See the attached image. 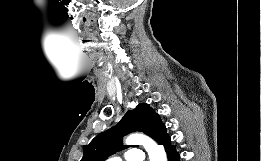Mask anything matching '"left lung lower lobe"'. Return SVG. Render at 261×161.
<instances>
[{"label":"left lung lower lobe","mask_w":261,"mask_h":161,"mask_svg":"<svg viewBox=\"0 0 261 161\" xmlns=\"http://www.w3.org/2000/svg\"><path fill=\"white\" fill-rule=\"evenodd\" d=\"M159 144L165 147L168 161H179V154L176 152L175 145L171 144V139L168 135Z\"/></svg>","instance_id":"0a47b994"}]
</instances>
